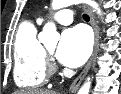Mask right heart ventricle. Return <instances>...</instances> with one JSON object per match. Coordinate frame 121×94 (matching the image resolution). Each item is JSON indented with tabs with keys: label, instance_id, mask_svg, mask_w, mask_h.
Instances as JSON below:
<instances>
[{
	"label": "right heart ventricle",
	"instance_id": "1",
	"mask_svg": "<svg viewBox=\"0 0 121 94\" xmlns=\"http://www.w3.org/2000/svg\"><path fill=\"white\" fill-rule=\"evenodd\" d=\"M14 80L18 87L37 88L46 79L45 49L37 37V28L23 22L14 41Z\"/></svg>",
	"mask_w": 121,
	"mask_h": 94
}]
</instances>
